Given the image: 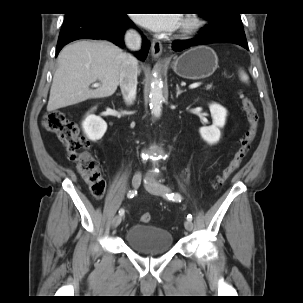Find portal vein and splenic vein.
Masks as SVG:
<instances>
[{
	"label": "portal vein and splenic vein",
	"mask_w": 303,
	"mask_h": 303,
	"mask_svg": "<svg viewBox=\"0 0 303 303\" xmlns=\"http://www.w3.org/2000/svg\"><path fill=\"white\" fill-rule=\"evenodd\" d=\"M200 85H201V83H194V84L190 85L189 87H190V89H194V88L199 87ZM93 86L98 87L99 84H94Z\"/></svg>",
	"instance_id": "18ae733b"
}]
</instances>
